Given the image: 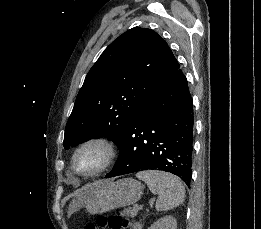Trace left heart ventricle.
<instances>
[{
	"label": "left heart ventricle",
	"mask_w": 261,
	"mask_h": 229,
	"mask_svg": "<svg viewBox=\"0 0 261 229\" xmlns=\"http://www.w3.org/2000/svg\"><path fill=\"white\" fill-rule=\"evenodd\" d=\"M102 161V154L99 150L92 148L88 149L80 154L77 160L79 168L91 171L99 166Z\"/></svg>",
	"instance_id": "1"
}]
</instances>
